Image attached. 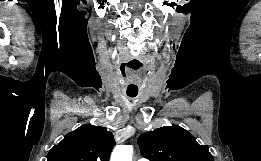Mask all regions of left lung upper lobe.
I'll return each instance as SVG.
<instances>
[{
  "mask_svg": "<svg viewBox=\"0 0 261 161\" xmlns=\"http://www.w3.org/2000/svg\"><path fill=\"white\" fill-rule=\"evenodd\" d=\"M138 144L150 161H214L206 145H199L187 130L177 125L142 134Z\"/></svg>",
  "mask_w": 261,
  "mask_h": 161,
  "instance_id": "1",
  "label": "left lung upper lobe"
}]
</instances>
